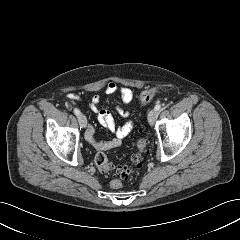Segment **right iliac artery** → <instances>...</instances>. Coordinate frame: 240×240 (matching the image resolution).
<instances>
[{"label": "right iliac artery", "instance_id": "82829eb1", "mask_svg": "<svg viewBox=\"0 0 240 240\" xmlns=\"http://www.w3.org/2000/svg\"><path fill=\"white\" fill-rule=\"evenodd\" d=\"M74 114H75L76 116H79V115H80L79 109L75 108V109H74Z\"/></svg>", "mask_w": 240, "mask_h": 240}]
</instances>
